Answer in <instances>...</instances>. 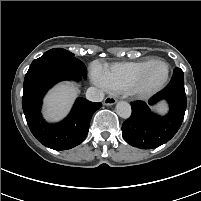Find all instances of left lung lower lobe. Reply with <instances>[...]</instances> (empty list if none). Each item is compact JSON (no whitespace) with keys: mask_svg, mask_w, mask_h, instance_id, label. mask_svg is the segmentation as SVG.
<instances>
[{"mask_svg":"<svg viewBox=\"0 0 201 201\" xmlns=\"http://www.w3.org/2000/svg\"><path fill=\"white\" fill-rule=\"evenodd\" d=\"M161 100H166L170 106L169 113L163 117L154 114L148 107ZM148 105L141 101L131 103L132 114L122 125L125 141L140 149H152L166 143L182 124L187 99L184 74L180 68L174 69L170 83L153 96Z\"/></svg>","mask_w":201,"mask_h":201,"instance_id":"1","label":"left lung lower lobe"}]
</instances>
